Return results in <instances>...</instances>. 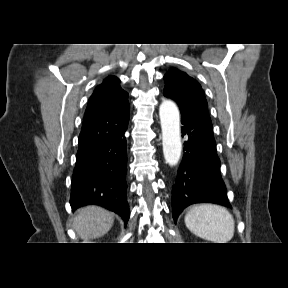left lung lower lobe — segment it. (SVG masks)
Wrapping results in <instances>:
<instances>
[{
    "label": "left lung lower lobe",
    "instance_id": "obj_1",
    "mask_svg": "<svg viewBox=\"0 0 288 288\" xmlns=\"http://www.w3.org/2000/svg\"><path fill=\"white\" fill-rule=\"evenodd\" d=\"M183 159L172 187V212L176 223L179 214L194 203H215L231 207L220 174V160L211 121L201 113L182 111Z\"/></svg>",
    "mask_w": 288,
    "mask_h": 288
}]
</instances>
